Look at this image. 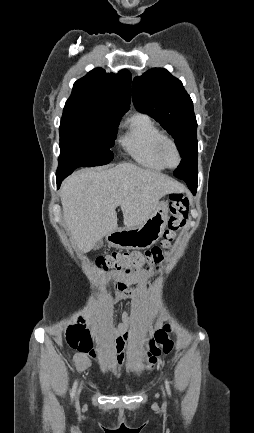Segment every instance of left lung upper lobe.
Segmentation results:
<instances>
[{"instance_id":"5c2ea615","label":"left lung upper lobe","mask_w":254,"mask_h":433,"mask_svg":"<svg viewBox=\"0 0 254 433\" xmlns=\"http://www.w3.org/2000/svg\"><path fill=\"white\" fill-rule=\"evenodd\" d=\"M132 100L138 111L153 117L173 136L182 157L175 177L197 181V122L182 82L165 69H150L134 78Z\"/></svg>"}]
</instances>
